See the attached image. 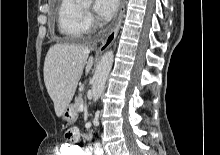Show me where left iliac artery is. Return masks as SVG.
<instances>
[{
	"label": "left iliac artery",
	"mask_w": 220,
	"mask_h": 155,
	"mask_svg": "<svg viewBox=\"0 0 220 155\" xmlns=\"http://www.w3.org/2000/svg\"><path fill=\"white\" fill-rule=\"evenodd\" d=\"M95 154L96 155H103V151L101 148H97L96 151H95Z\"/></svg>",
	"instance_id": "44dca946"
}]
</instances>
